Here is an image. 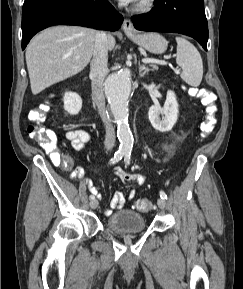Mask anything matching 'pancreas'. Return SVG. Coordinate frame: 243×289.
<instances>
[{"mask_svg": "<svg viewBox=\"0 0 243 289\" xmlns=\"http://www.w3.org/2000/svg\"><path fill=\"white\" fill-rule=\"evenodd\" d=\"M153 69L158 70V67L155 64L151 65Z\"/></svg>", "mask_w": 243, "mask_h": 289, "instance_id": "cf45deb5", "label": "pancreas"}]
</instances>
